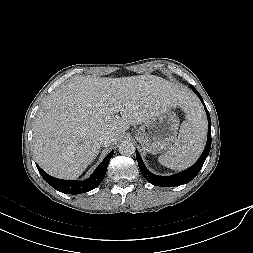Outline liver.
<instances>
[{"mask_svg":"<svg viewBox=\"0 0 253 253\" xmlns=\"http://www.w3.org/2000/svg\"><path fill=\"white\" fill-rule=\"evenodd\" d=\"M189 102L188 93L155 75L76 77L55 90L38 111L35 159L54 177L76 179L99 154L102 133H111V146L130 125Z\"/></svg>","mask_w":253,"mask_h":253,"instance_id":"liver-1","label":"liver"}]
</instances>
